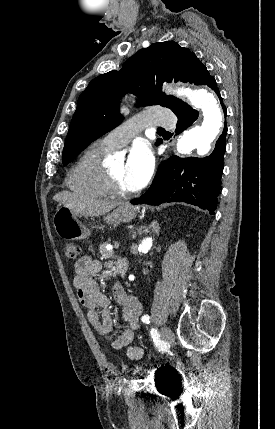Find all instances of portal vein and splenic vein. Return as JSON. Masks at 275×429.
Instances as JSON below:
<instances>
[{
    "label": "portal vein and splenic vein",
    "mask_w": 275,
    "mask_h": 429,
    "mask_svg": "<svg viewBox=\"0 0 275 429\" xmlns=\"http://www.w3.org/2000/svg\"><path fill=\"white\" fill-rule=\"evenodd\" d=\"M120 246V244L117 242V243H115V247L116 248H118ZM107 249L108 250H112L113 249V247L112 246H107Z\"/></svg>",
    "instance_id": "portal-vein-and-splenic-vein-1"
}]
</instances>
